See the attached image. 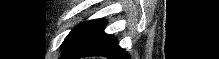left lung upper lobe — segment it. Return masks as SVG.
<instances>
[{
  "label": "left lung upper lobe",
  "instance_id": "1",
  "mask_svg": "<svg viewBox=\"0 0 219 59\" xmlns=\"http://www.w3.org/2000/svg\"><path fill=\"white\" fill-rule=\"evenodd\" d=\"M99 20L85 21L76 26L61 45L62 54L59 59H66L94 30Z\"/></svg>",
  "mask_w": 219,
  "mask_h": 59
}]
</instances>
